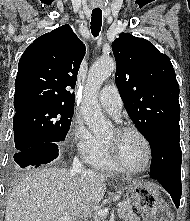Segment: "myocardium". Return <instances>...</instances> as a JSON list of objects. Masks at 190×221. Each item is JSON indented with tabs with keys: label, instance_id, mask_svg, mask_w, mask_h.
Masks as SVG:
<instances>
[{
	"label": "myocardium",
	"instance_id": "f54148a6",
	"mask_svg": "<svg viewBox=\"0 0 190 221\" xmlns=\"http://www.w3.org/2000/svg\"><path fill=\"white\" fill-rule=\"evenodd\" d=\"M115 132L117 134H123L126 132H132L138 135L141 140L143 141L145 147H146V152H147V158L144 166L140 169H130L126 167L123 162L121 161L116 145L113 142L105 141L104 140V145L106 147L107 153L111 159V161L114 163V165L121 171L128 173V174H133V175H138L146 172L152 163V158H153V152H152V146L147 138V136L137 127L132 126V125H119L114 128Z\"/></svg>",
	"mask_w": 190,
	"mask_h": 221
}]
</instances>
